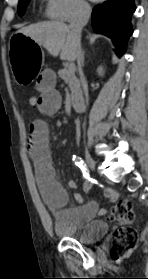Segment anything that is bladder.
Masks as SVG:
<instances>
[{
	"label": "bladder",
	"instance_id": "obj_1",
	"mask_svg": "<svg viewBox=\"0 0 148 279\" xmlns=\"http://www.w3.org/2000/svg\"><path fill=\"white\" fill-rule=\"evenodd\" d=\"M56 233L63 238L73 239L80 243L91 244L101 240L108 232L104 221L94 220L83 225H69L58 217L54 223Z\"/></svg>",
	"mask_w": 148,
	"mask_h": 279
}]
</instances>
